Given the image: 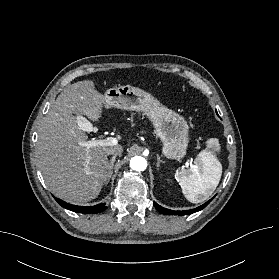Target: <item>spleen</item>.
Here are the masks:
<instances>
[{
  "mask_svg": "<svg viewBox=\"0 0 279 279\" xmlns=\"http://www.w3.org/2000/svg\"><path fill=\"white\" fill-rule=\"evenodd\" d=\"M213 148L219 150L217 139H209L207 147L195 158L188 169L176 173L185 198L192 203L206 200L216 189L222 175V165Z\"/></svg>",
  "mask_w": 279,
  "mask_h": 279,
  "instance_id": "3e777b00",
  "label": "spleen"
}]
</instances>
